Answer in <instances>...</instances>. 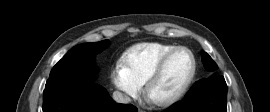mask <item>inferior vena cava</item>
<instances>
[{"instance_id":"obj_1","label":"inferior vena cava","mask_w":270,"mask_h":112,"mask_svg":"<svg viewBox=\"0 0 270 112\" xmlns=\"http://www.w3.org/2000/svg\"><path fill=\"white\" fill-rule=\"evenodd\" d=\"M113 100L117 103H123V104H127L131 101L129 96H127L119 91L113 92Z\"/></svg>"}]
</instances>
